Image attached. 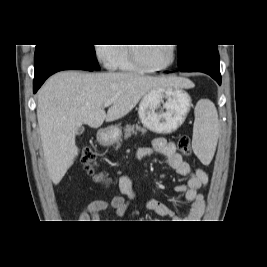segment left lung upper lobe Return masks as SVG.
<instances>
[{
  "label": "left lung upper lobe",
  "mask_w": 267,
  "mask_h": 267,
  "mask_svg": "<svg viewBox=\"0 0 267 267\" xmlns=\"http://www.w3.org/2000/svg\"><path fill=\"white\" fill-rule=\"evenodd\" d=\"M217 49V45L203 44V45H178L179 69L186 67L198 55L208 50Z\"/></svg>",
  "instance_id": "5c2ea615"
}]
</instances>
